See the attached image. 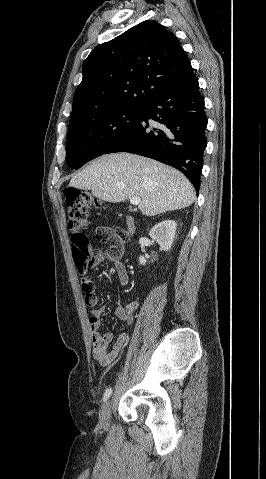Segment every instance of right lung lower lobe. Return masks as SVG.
I'll list each match as a JSON object with an SVG mask.
<instances>
[{"label": "right lung lower lobe", "mask_w": 266, "mask_h": 479, "mask_svg": "<svg viewBox=\"0 0 266 479\" xmlns=\"http://www.w3.org/2000/svg\"><path fill=\"white\" fill-rule=\"evenodd\" d=\"M198 85L193 73L156 93L143 106L139 121L104 154L130 152L175 167L198 193L207 146V118Z\"/></svg>", "instance_id": "98d812e1"}]
</instances>
